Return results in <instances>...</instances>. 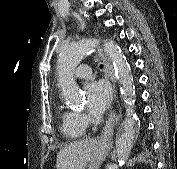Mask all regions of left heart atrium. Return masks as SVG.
<instances>
[{"label":"left heart atrium","instance_id":"left-heart-atrium-1","mask_svg":"<svg viewBox=\"0 0 177 169\" xmlns=\"http://www.w3.org/2000/svg\"><path fill=\"white\" fill-rule=\"evenodd\" d=\"M84 91L89 114L94 117L102 115L110 105V86L102 80L90 81L85 85Z\"/></svg>","mask_w":177,"mask_h":169}]
</instances>
